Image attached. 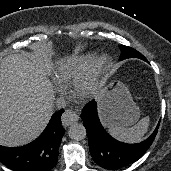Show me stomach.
I'll return each instance as SVG.
<instances>
[{
    "instance_id": "obj_1",
    "label": "stomach",
    "mask_w": 171,
    "mask_h": 171,
    "mask_svg": "<svg viewBox=\"0 0 171 171\" xmlns=\"http://www.w3.org/2000/svg\"><path fill=\"white\" fill-rule=\"evenodd\" d=\"M100 112L105 125L110 127H129L140 117V110L133 101L127 87L112 81L105 89Z\"/></svg>"
}]
</instances>
